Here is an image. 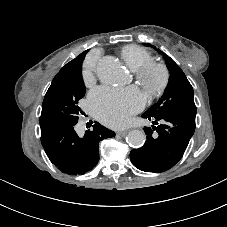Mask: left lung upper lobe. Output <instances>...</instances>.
<instances>
[{"label":"left lung upper lobe","instance_id":"obj_1","mask_svg":"<svg viewBox=\"0 0 227 227\" xmlns=\"http://www.w3.org/2000/svg\"><path fill=\"white\" fill-rule=\"evenodd\" d=\"M143 44L145 46H151L147 43ZM159 52L165 57V63L170 72V79L162 97L146 113L150 115L178 113L195 117L196 106L193 99V88L190 82L184 72L170 57L162 51Z\"/></svg>","mask_w":227,"mask_h":227}]
</instances>
